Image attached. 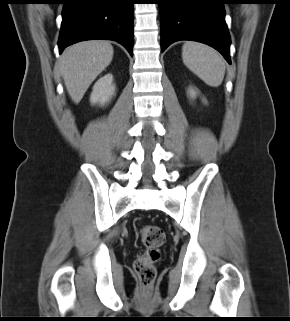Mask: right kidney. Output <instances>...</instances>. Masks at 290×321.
<instances>
[{
    "mask_svg": "<svg viewBox=\"0 0 290 321\" xmlns=\"http://www.w3.org/2000/svg\"><path fill=\"white\" fill-rule=\"evenodd\" d=\"M115 94V85L113 84V75L108 73L101 77L93 86L90 95L91 104L104 106L109 103Z\"/></svg>",
    "mask_w": 290,
    "mask_h": 321,
    "instance_id": "right-kidney-1",
    "label": "right kidney"
}]
</instances>
